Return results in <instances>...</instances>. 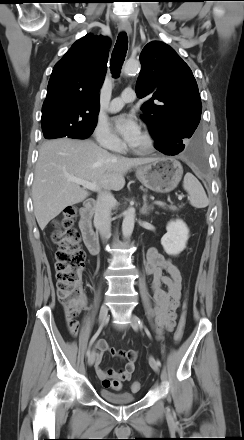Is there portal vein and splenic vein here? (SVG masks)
<instances>
[{"mask_svg": "<svg viewBox=\"0 0 244 440\" xmlns=\"http://www.w3.org/2000/svg\"><path fill=\"white\" fill-rule=\"evenodd\" d=\"M71 181H73V182H75V183H77L79 185H82L83 188H85V189H89L91 191H99V187L96 185L95 182H89V181H85V180H82V179H76V178L71 179ZM183 197H184V195H179L178 199L182 200ZM155 204L161 205V206L165 205V203H163L161 201H156Z\"/></svg>", "mask_w": 244, "mask_h": 440, "instance_id": "1", "label": "portal vein and splenic vein"}]
</instances>
